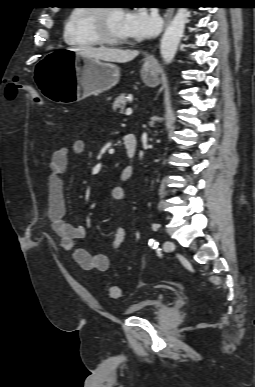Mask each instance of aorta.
Wrapping results in <instances>:
<instances>
[{
  "label": "aorta",
  "mask_w": 255,
  "mask_h": 387,
  "mask_svg": "<svg viewBox=\"0 0 255 387\" xmlns=\"http://www.w3.org/2000/svg\"><path fill=\"white\" fill-rule=\"evenodd\" d=\"M187 15L186 8H179L162 36L160 54L165 63H171L175 57L184 34Z\"/></svg>",
  "instance_id": "762f6f07"
}]
</instances>
